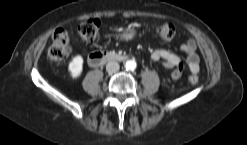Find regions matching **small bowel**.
Returning <instances> with one entry per match:
<instances>
[{
  "instance_id": "1",
  "label": "small bowel",
  "mask_w": 247,
  "mask_h": 145,
  "mask_svg": "<svg viewBox=\"0 0 247 145\" xmlns=\"http://www.w3.org/2000/svg\"><path fill=\"white\" fill-rule=\"evenodd\" d=\"M196 42L193 39L188 40L180 46V51L186 55L187 64L192 74H197L200 68V58L196 52ZM153 61H163L167 68H173L180 63V57L168 50L156 49L151 53Z\"/></svg>"
}]
</instances>
